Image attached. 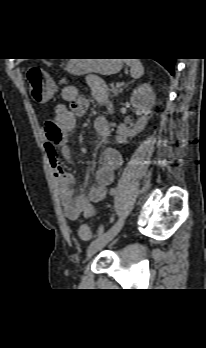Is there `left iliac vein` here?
I'll use <instances>...</instances> for the list:
<instances>
[{
    "instance_id": "obj_1",
    "label": "left iliac vein",
    "mask_w": 206,
    "mask_h": 348,
    "mask_svg": "<svg viewBox=\"0 0 206 348\" xmlns=\"http://www.w3.org/2000/svg\"><path fill=\"white\" fill-rule=\"evenodd\" d=\"M125 222V217L122 216L118 221L105 233L95 239L87 249V256L91 257L93 254L105 247L122 229Z\"/></svg>"
}]
</instances>
